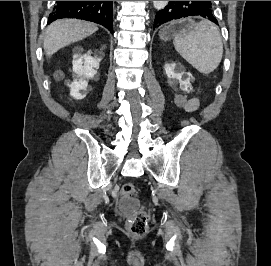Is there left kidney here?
<instances>
[{"mask_svg":"<svg viewBox=\"0 0 271 266\" xmlns=\"http://www.w3.org/2000/svg\"><path fill=\"white\" fill-rule=\"evenodd\" d=\"M165 72L168 78H173L179 81L180 86L183 91L188 92V88L191 87L190 78L185 77V72L181 66H176V64H166L164 66Z\"/></svg>","mask_w":271,"mask_h":266,"instance_id":"5707ae66","label":"left kidney"}]
</instances>
